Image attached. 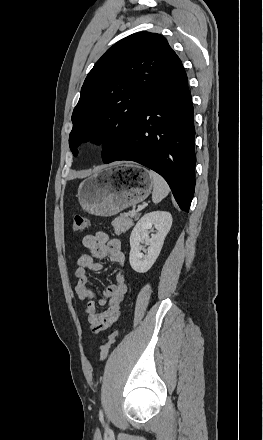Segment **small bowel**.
I'll return each instance as SVG.
<instances>
[{
    "mask_svg": "<svg viewBox=\"0 0 263 440\" xmlns=\"http://www.w3.org/2000/svg\"><path fill=\"white\" fill-rule=\"evenodd\" d=\"M89 254L82 255L76 262L75 293L79 300H86L83 312L94 333H100L113 327L120 316L121 303L127 292L126 275L123 271L126 257L122 243L117 238H109L103 232L86 235L82 240ZM108 258L119 266L114 275V283L109 285L101 298H97L89 286V272H99L104 265L97 260ZM97 306H107L104 311H98Z\"/></svg>",
    "mask_w": 263,
    "mask_h": 440,
    "instance_id": "obj_1",
    "label": "small bowel"
}]
</instances>
